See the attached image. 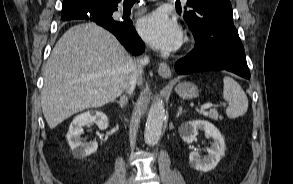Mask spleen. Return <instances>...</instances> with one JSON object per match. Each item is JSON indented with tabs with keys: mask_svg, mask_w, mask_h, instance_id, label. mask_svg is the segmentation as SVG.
<instances>
[{
	"mask_svg": "<svg viewBox=\"0 0 293 184\" xmlns=\"http://www.w3.org/2000/svg\"><path fill=\"white\" fill-rule=\"evenodd\" d=\"M223 99L227 101L226 115L235 119L244 115L248 109V98L240 84L229 76L223 78Z\"/></svg>",
	"mask_w": 293,
	"mask_h": 184,
	"instance_id": "1",
	"label": "spleen"
}]
</instances>
